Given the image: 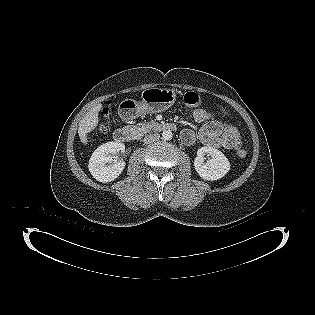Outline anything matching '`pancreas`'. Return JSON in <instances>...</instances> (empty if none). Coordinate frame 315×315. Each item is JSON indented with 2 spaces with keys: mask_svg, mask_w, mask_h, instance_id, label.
Segmentation results:
<instances>
[{
  "mask_svg": "<svg viewBox=\"0 0 315 315\" xmlns=\"http://www.w3.org/2000/svg\"><path fill=\"white\" fill-rule=\"evenodd\" d=\"M155 124L156 123L153 121L150 123H140V124L132 126L131 129L134 132L135 136H140V135H143V134L149 132L150 127L152 125H155Z\"/></svg>",
  "mask_w": 315,
  "mask_h": 315,
  "instance_id": "1",
  "label": "pancreas"
}]
</instances>
